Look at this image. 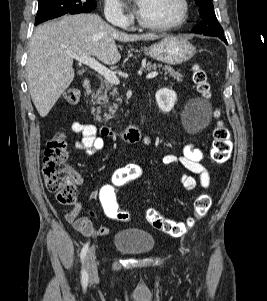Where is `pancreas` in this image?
<instances>
[{
	"instance_id": "1",
	"label": "pancreas",
	"mask_w": 267,
	"mask_h": 301,
	"mask_svg": "<svg viewBox=\"0 0 267 301\" xmlns=\"http://www.w3.org/2000/svg\"><path fill=\"white\" fill-rule=\"evenodd\" d=\"M158 67L160 68L162 67V65L151 64L149 62L147 63L146 69L151 70L157 69ZM163 69L165 70V75L169 74L171 77H174L178 81L181 80L182 74L179 71H175L170 66H165ZM165 79L167 78L165 77ZM117 95V88L112 83L104 81L103 83H101L98 91L92 94V101L95 100L93 103L100 105V107L97 108L98 112H100L102 106L103 108H108L109 112H111L114 115L116 110L118 109V102L120 101ZM111 118V115L105 114V122H107ZM96 119L100 121V117L98 115L96 116Z\"/></svg>"
}]
</instances>
